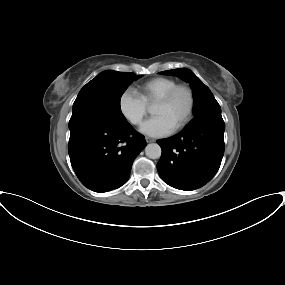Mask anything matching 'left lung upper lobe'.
<instances>
[{
  "mask_svg": "<svg viewBox=\"0 0 285 285\" xmlns=\"http://www.w3.org/2000/svg\"><path fill=\"white\" fill-rule=\"evenodd\" d=\"M166 75H175L191 85L194 94L193 112L195 117L185 127L188 128L203 119H222L221 108L210 89L189 69L180 68L160 72Z\"/></svg>",
  "mask_w": 285,
  "mask_h": 285,
  "instance_id": "1",
  "label": "left lung upper lobe"
}]
</instances>
